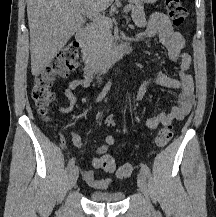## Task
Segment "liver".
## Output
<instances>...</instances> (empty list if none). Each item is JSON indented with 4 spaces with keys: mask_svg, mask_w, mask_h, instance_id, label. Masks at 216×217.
Wrapping results in <instances>:
<instances>
[{
    "mask_svg": "<svg viewBox=\"0 0 216 217\" xmlns=\"http://www.w3.org/2000/svg\"><path fill=\"white\" fill-rule=\"evenodd\" d=\"M113 1L27 0L32 75H39L81 28V9L101 12Z\"/></svg>",
    "mask_w": 216,
    "mask_h": 217,
    "instance_id": "obj_1",
    "label": "liver"
}]
</instances>
